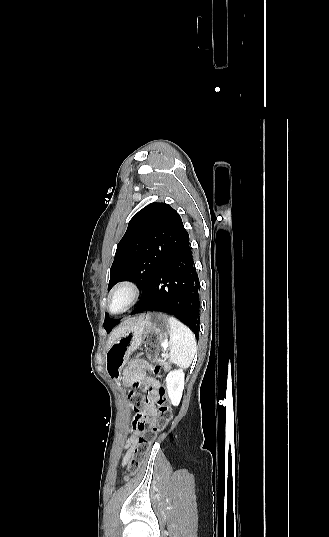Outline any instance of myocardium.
Returning a JSON list of instances; mask_svg holds the SVG:
<instances>
[{"label":"myocardium","instance_id":"1","mask_svg":"<svg viewBox=\"0 0 329 537\" xmlns=\"http://www.w3.org/2000/svg\"><path fill=\"white\" fill-rule=\"evenodd\" d=\"M120 291H127L129 293V301L127 305L120 311H114L111 306V300L113 296L120 292ZM140 297V289L139 287L130 280H124L116 284L108 293L106 303H107V310L112 314H123L130 310L138 301Z\"/></svg>","mask_w":329,"mask_h":537}]
</instances>
